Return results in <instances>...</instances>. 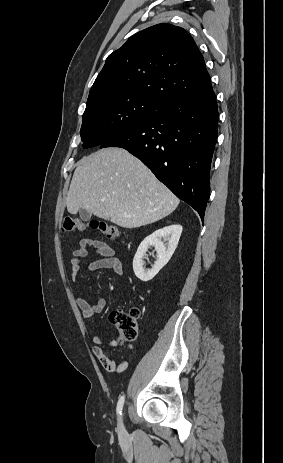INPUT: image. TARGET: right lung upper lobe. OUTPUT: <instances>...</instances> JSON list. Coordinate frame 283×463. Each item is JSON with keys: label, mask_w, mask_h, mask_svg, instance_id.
Instances as JSON below:
<instances>
[{"label": "right lung upper lobe", "mask_w": 283, "mask_h": 463, "mask_svg": "<svg viewBox=\"0 0 283 463\" xmlns=\"http://www.w3.org/2000/svg\"><path fill=\"white\" fill-rule=\"evenodd\" d=\"M211 88L204 58L189 33L157 24L136 33L107 57L87 101L129 92L161 104Z\"/></svg>", "instance_id": "1"}]
</instances>
